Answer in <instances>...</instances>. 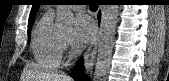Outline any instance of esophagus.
Segmentation results:
<instances>
[{"label": "esophagus", "mask_w": 169, "mask_h": 81, "mask_svg": "<svg viewBox=\"0 0 169 81\" xmlns=\"http://www.w3.org/2000/svg\"><path fill=\"white\" fill-rule=\"evenodd\" d=\"M95 21H96V27L97 31L94 36V39L92 40L90 46L86 50L83 56V62L85 69L88 72H91L94 62H95V57H96V52L98 45L101 40V35H102V27H103V8L102 6H99L96 13H95Z\"/></svg>", "instance_id": "esophagus-1"}]
</instances>
